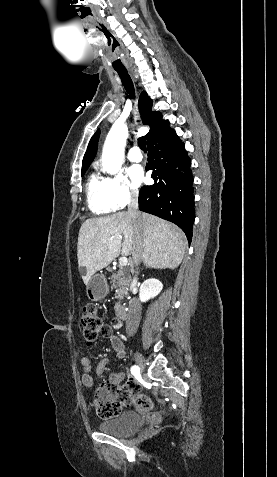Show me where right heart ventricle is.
<instances>
[{"label":"right heart ventricle","mask_w":277,"mask_h":477,"mask_svg":"<svg viewBox=\"0 0 277 477\" xmlns=\"http://www.w3.org/2000/svg\"><path fill=\"white\" fill-rule=\"evenodd\" d=\"M87 205L91 212L104 215L113 211L107 198L104 178L96 173L90 174L86 183Z\"/></svg>","instance_id":"obj_1"}]
</instances>
